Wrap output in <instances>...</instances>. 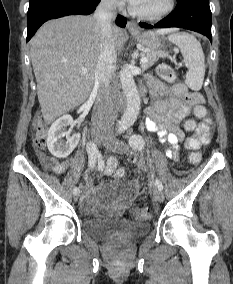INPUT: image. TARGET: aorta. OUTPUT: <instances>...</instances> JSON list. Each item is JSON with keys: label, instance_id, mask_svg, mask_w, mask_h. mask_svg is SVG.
<instances>
[{"label": "aorta", "instance_id": "obj_1", "mask_svg": "<svg viewBox=\"0 0 233 284\" xmlns=\"http://www.w3.org/2000/svg\"><path fill=\"white\" fill-rule=\"evenodd\" d=\"M119 79L126 98V109L119 121V127L127 129L136 121L139 115L141 100L133 75L129 69H121Z\"/></svg>", "mask_w": 233, "mask_h": 284}]
</instances>
